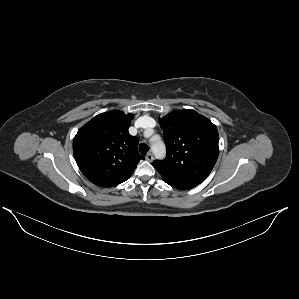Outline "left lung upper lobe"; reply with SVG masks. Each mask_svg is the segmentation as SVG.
Instances as JSON below:
<instances>
[{
  "mask_svg": "<svg viewBox=\"0 0 299 299\" xmlns=\"http://www.w3.org/2000/svg\"><path fill=\"white\" fill-rule=\"evenodd\" d=\"M167 156L153 166L164 181L198 185L212 171L219 154L216 126L191 109L176 110L159 119Z\"/></svg>",
  "mask_w": 299,
  "mask_h": 299,
  "instance_id": "1",
  "label": "left lung upper lobe"
}]
</instances>
